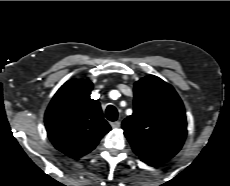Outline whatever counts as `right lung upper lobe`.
<instances>
[{"mask_svg": "<svg viewBox=\"0 0 230 186\" xmlns=\"http://www.w3.org/2000/svg\"><path fill=\"white\" fill-rule=\"evenodd\" d=\"M92 82L84 79L67 81L52 98L45 125L53 145L72 158L92 151L110 131L100 103L90 98Z\"/></svg>", "mask_w": 230, "mask_h": 186, "instance_id": "right-lung-upper-lobe-1", "label": "right lung upper lobe"}]
</instances>
